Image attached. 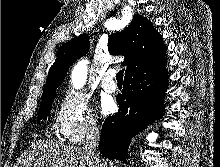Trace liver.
I'll list each match as a JSON object with an SVG mask.
<instances>
[{"mask_svg":"<svg viewBox=\"0 0 220 167\" xmlns=\"http://www.w3.org/2000/svg\"><path fill=\"white\" fill-rule=\"evenodd\" d=\"M103 167L107 162L102 160ZM15 167H99L84 148L67 146L53 141L32 144Z\"/></svg>","mask_w":220,"mask_h":167,"instance_id":"obj_1","label":"liver"}]
</instances>
